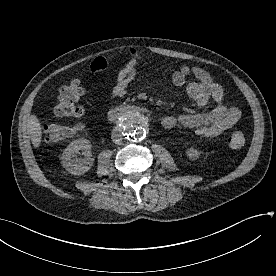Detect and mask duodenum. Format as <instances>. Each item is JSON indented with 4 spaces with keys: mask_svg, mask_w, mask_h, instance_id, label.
Instances as JSON below:
<instances>
[{
    "mask_svg": "<svg viewBox=\"0 0 276 276\" xmlns=\"http://www.w3.org/2000/svg\"><path fill=\"white\" fill-rule=\"evenodd\" d=\"M130 110L131 109L129 107H125V106L114 107L110 109V111L108 112V118L111 121H116L121 117H123L125 114H127Z\"/></svg>",
    "mask_w": 276,
    "mask_h": 276,
    "instance_id": "1",
    "label": "duodenum"
}]
</instances>
